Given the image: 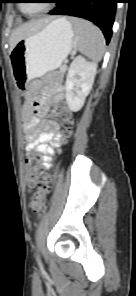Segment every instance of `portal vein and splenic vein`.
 Segmentation results:
<instances>
[{
    "mask_svg": "<svg viewBox=\"0 0 136 296\" xmlns=\"http://www.w3.org/2000/svg\"><path fill=\"white\" fill-rule=\"evenodd\" d=\"M61 69H62V70L66 69V65H63Z\"/></svg>",
    "mask_w": 136,
    "mask_h": 296,
    "instance_id": "1",
    "label": "portal vein and splenic vein"
}]
</instances>
